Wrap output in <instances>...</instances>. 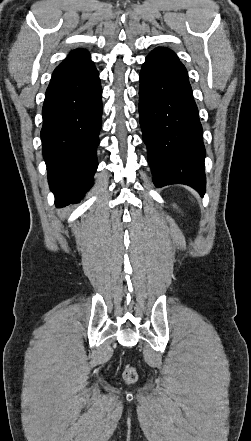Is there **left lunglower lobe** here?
<instances>
[{"mask_svg": "<svg viewBox=\"0 0 251 441\" xmlns=\"http://www.w3.org/2000/svg\"><path fill=\"white\" fill-rule=\"evenodd\" d=\"M139 114L156 187L186 184L203 196L205 147L185 66L170 49H154L140 72Z\"/></svg>", "mask_w": 251, "mask_h": 441, "instance_id": "left-lung-lower-lobe-1", "label": "left lung lower lobe"}]
</instances>
